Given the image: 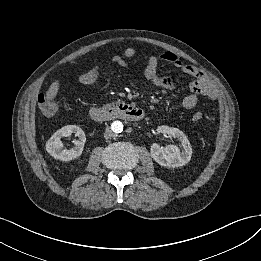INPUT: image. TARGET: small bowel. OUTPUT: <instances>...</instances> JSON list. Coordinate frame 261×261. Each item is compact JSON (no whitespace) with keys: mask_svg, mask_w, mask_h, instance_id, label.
<instances>
[{"mask_svg":"<svg viewBox=\"0 0 261 261\" xmlns=\"http://www.w3.org/2000/svg\"><path fill=\"white\" fill-rule=\"evenodd\" d=\"M136 55V50L133 47H127L124 50L123 56H114L112 61L118 65L126 66V59L133 58ZM160 60L167 61L172 63L177 67H181L185 73L192 77H196V75L202 71L198 67L194 65H184L183 62L178 58L175 54L166 52L161 56L151 55L147 60L146 67L144 69L145 77L154 85L167 90H174L177 88L176 81L171 77H164L158 74V68L160 64ZM102 66H97L94 69L88 71L87 73L81 75L80 82L83 84H91L93 83L100 75ZM199 94H205L209 97L214 96V90L209 88L207 91L203 93H193L191 92L187 96L183 98L182 105L185 109L194 108L199 101Z\"/></svg>","mask_w":261,"mask_h":261,"instance_id":"obj_1","label":"small bowel"}]
</instances>
